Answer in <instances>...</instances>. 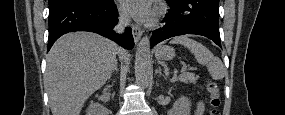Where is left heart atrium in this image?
Here are the masks:
<instances>
[{
	"label": "left heart atrium",
	"mask_w": 285,
	"mask_h": 115,
	"mask_svg": "<svg viewBox=\"0 0 285 115\" xmlns=\"http://www.w3.org/2000/svg\"><path fill=\"white\" fill-rule=\"evenodd\" d=\"M122 7L135 18L142 21H149L153 16L149 0H123Z\"/></svg>",
	"instance_id": "obj_1"
}]
</instances>
